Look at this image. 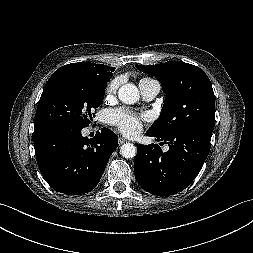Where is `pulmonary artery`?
<instances>
[{
    "instance_id": "obj_1",
    "label": "pulmonary artery",
    "mask_w": 253,
    "mask_h": 253,
    "mask_svg": "<svg viewBox=\"0 0 253 253\" xmlns=\"http://www.w3.org/2000/svg\"><path fill=\"white\" fill-rule=\"evenodd\" d=\"M141 95L144 100L151 101L160 91V84L158 81H145L139 84Z\"/></svg>"
}]
</instances>
